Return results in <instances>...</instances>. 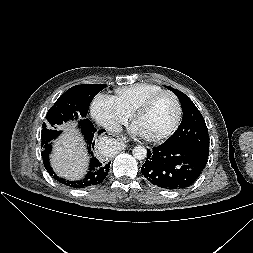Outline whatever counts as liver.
Here are the masks:
<instances>
[{"instance_id":"1","label":"liver","mask_w":253,"mask_h":253,"mask_svg":"<svg viewBox=\"0 0 253 253\" xmlns=\"http://www.w3.org/2000/svg\"><path fill=\"white\" fill-rule=\"evenodd\" d=\"M77 124H65L59 129L63 135L55 142L51 155V165L55 172L66 179L78 180L87 170L88 156L85 143L77 132Z\"/></svg>"}]
</instances>
